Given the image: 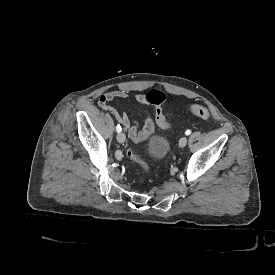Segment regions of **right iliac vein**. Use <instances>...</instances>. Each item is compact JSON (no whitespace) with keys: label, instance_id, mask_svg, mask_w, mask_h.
<instances>
[{"label":"right iliac vein","instance_id":"1","mask_svg":"<svg viewBox=\"0 0 275 275\" xmlns=\"http://www.w3.org/2000/svg\"><path fill=\"white\" fill-rule=\"evenodd\" d=\"M125 139H126V136H125V134H124L123 132H119V133L117 134V141H118L119 143L125 142Z\"/></svg>","mask_w":275,"mask_h":275}]
</instances>
